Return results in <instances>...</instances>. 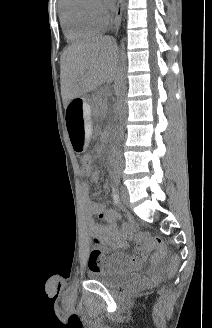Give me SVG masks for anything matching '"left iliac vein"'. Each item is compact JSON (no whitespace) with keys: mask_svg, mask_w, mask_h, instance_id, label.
I'll return each mask as SVG.
<instances>
[{"mask_svg":"<svg viewBox=\"0 0 212 328\" xmlns=\"http://www.w3.org/2000/svg\"><path fill=\"white\" fill-rule=\"evenodd\" d=\"M122 201L126 206L130 205L128 190L125 187H122L121 190Z\"/></svg>","mask_w":212,"mask_h":328,"instance_id":"1","label":"left iliac vein"}]
</instances>
